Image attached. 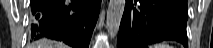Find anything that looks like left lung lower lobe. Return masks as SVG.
<instances>
[{"mask_svg": "<svg viewBox=\"0 0 213 48\" xmlns=\"http://www.w3.org/2000/svg\"><path fill=\"white\" fill-rule=\"evenodd\" d=\"M187 0H126L117 48H147L175 40L188 48Z\"/></svg>", "mask_w": 213, "mask_h": 48, "instance_id": "0a47b994", "label": "left lung lower lobe"}]
</instances>
